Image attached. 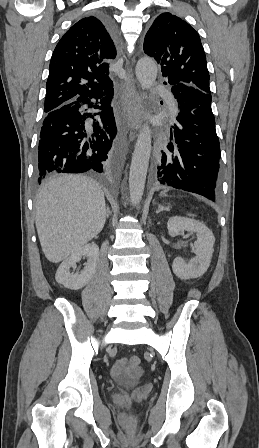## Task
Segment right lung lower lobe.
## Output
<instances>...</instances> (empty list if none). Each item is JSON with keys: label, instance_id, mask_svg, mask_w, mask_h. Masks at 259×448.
Here are the masks:
<instances>
[{"label": "right lung lower lobe", "instance_id": "98d812e1", "mask_svg": "<svg viewBox=\"0 0 259 448\" xmlns=\"http://www.w3.org/2000/svg\"><path fill=\"white\" fill-rule=\"evenodd\" d=\"M114 37L111 23L103 20ZM113 86L46 112L40 131L36 175L106 170L117 134L111 100Z\"/></svg>", "mask_w": 259, "mask_h": 448}]
</instances>
